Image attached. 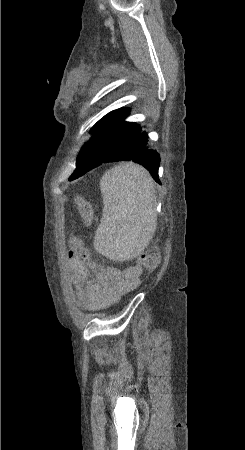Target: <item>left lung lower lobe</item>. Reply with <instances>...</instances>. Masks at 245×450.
I'll use <instances>...</instances> for the list:
<instances>
[{
	"mask_svg": "<svg viewBox=\"0 0 245 450\" xmlns=\"http://www.w3.org/2000/svg\"><path fill=\"white\" fill-rule=\"evenodd\" d=\"M80 152L88 160L94 158V156L96 157L102 154L99 163L94 167L100 165L101 163L121 161V160H132L134 162L140 163L150 172L153 179L157 183H160L158 176L160 157L158 152L148 145V135L144 131L143 132L140 131L139 134L134 139L127 142L124 146H121L120 148L109 149V147L105 146L93 147L86 145V147L82 148ZM90 169L69 178V180H74L82 176Z\"/></svg>",
	"mask_w": 245,
	"mask_h": 450,
	"instance_id": "obj_1",
	"label": "left lung lower lobe"
}]
</instances>
